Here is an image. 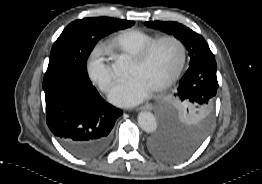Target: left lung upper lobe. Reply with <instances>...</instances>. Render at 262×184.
<instances>
[{
	"mask_svg": "<svg viewBox=\"0 0 262 184\" xmlns=\"http://www.w3.org/2000/svg\"><path fill=\"white\" fill-rule=\"evenodd\" d=\"M145 25L173 34L190 56L189 68L177 90L160 107L163 128L178 139L201 142L211 125L218 88L216 64L204 62L214 57L213 53L201 35L180 23L150 21Z\"/></svg>",
	"mask_w": 262,
	"mask_h": 184,
	"instance_id": "obj_1",
	"label": "left lung upper lobe"
}]
</instances>
